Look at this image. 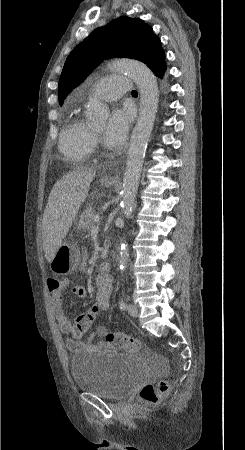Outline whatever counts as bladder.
Listing matches in <instances>:
<instances>
[{
	"instance_id": "31cf9c89",
	"label": "bladder",
	"mask_w": 245,
	"mask_h": 450,
	"mask_svg": "<svg viewBox=\"0 0 245 450\" xmlns=\"http://www.w3.org/2000/svg\"><path fill=\"white\" fill-rule=\"evenodd\" d=\"M71 373L78 391L112 400L126 397L145 378L137 357L124 353L84 351L72 360Z\"/></svg>"
}]
</instances>
